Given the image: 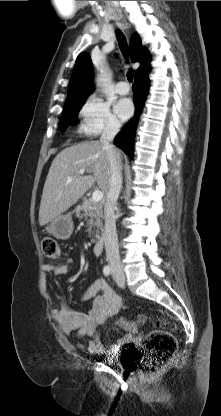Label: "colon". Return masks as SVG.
Instances as JSON below:
<instances>
[{
  "label": "colon",
  "mask_w": 221,
  "mask_h": 416,
  "mask_svg": "<svg viewBox=\"0 0 221 416\" xmlns=\"http://www.w3.org/2000/svg\"><path fill=\"white\" fill-rule=\"evenodd\" d=\"M42 253L47 259H56L60 255L58 241L52 237H44L42 240ZM145 318L140 317L139 323ZM120 327L128 331H134L137 323L120 319ZM177 348L176 337L167 330L166 323L159 321L142 341V370L148 375L158 372L171 358Z\"/></svg>",
  "instance_id": "obj_1"
}]
</instances>
